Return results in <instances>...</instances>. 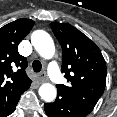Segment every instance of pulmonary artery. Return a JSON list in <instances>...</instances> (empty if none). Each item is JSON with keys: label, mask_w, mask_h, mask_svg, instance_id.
I'll return each instance as SVG.
<instances>
[{"label": "pulmonary artery", "mask_w": 117, "mask_h": 117, "mask_svg": "<svg viewBox=\"0 0 117 117\" xmlns=\"http://www.w3.org/2000/svg\"><path fill=\"white\" fill-rule=\"evenodd\" d=\"M48 71H49V75H50L51 80L55 84L61 83L62 76H61V73L59 71L58 65H57V63L55 61H52L49 64Z\"/></svg>", "instance_id": "pulmonary-artery-1"}]
</instances>
